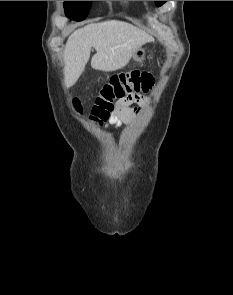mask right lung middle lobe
Wrapping results in <instances>:
<instances>
[{"label":"right lung middle lobe","instance_id":"dd1d6c3e","mask_svg":"<svg viewBox=\"0 0 233 295\" xmlns=\"http://www.w3.org/2000/svg\"><path fill=\"white\" fill-rule=\"evenodd\" d=\"M92 1H65L64 9L68 18L81 21L87 17Z\"/></svg>","mask_w":233,"mask_h":295}]
</instances>
